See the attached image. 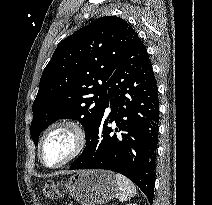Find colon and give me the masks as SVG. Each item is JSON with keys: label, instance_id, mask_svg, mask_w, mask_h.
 <instances>
[{"label": "colon", "instance_id": "5ec220e1", "mask_svg": "<svg viewBox=\"0 0 212 205\" xmlns=\"http://www.w3.org/2000/svg\"><path fill=\"white\" fill-rule=\"evenodd\" d=\"M42 195L46 200H56L61 197L60 185L56 182H48L42 190Z\"/></svg>", "mask_w": 212, "mask_h": 205}]
</instances>
